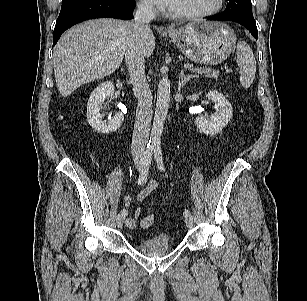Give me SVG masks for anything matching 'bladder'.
I'll return each mask as SVG.
<instances>
[{
  "label": "bladder",
  "mask_w": 307,
  "mask_h": 301,
  "mask_svg": "<svg viewBox=\"0 0 307 301\" xmlns=\"http://www.w3.org/2000/svg\"><path fill=\"white\" fill-rule=\"evenodd\" d=\"M137 249L151 257L161 256L171 249V244L166 234H157L138 241Z\"/></svg>",
  "instance_id": "obj_1"
}]
</instances>
